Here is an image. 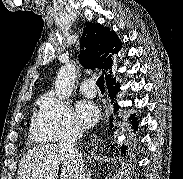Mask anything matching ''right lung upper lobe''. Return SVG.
I'll list each match as a JSON object with an SVG mask.
<instances>
[{"label":"right lung upper lobe","instance_id":"right-lung-upper-lobe-1","mask_svg":"<svg viewBox=\"0 0 183 179\" xmlns=\"http://www.w3.org/2000/svg\"><path fill=\"white\" fill-rule=\"evenodd\" d=\"M81 46L86 50L79 55L80 63L89 69L100 67L106 75V82L112 79V55L119 52L122 43L114 31H109L101 24L86 22L81 39Z\"/></svg>","mask_w":183,"mask_h":179}]
</instances>
